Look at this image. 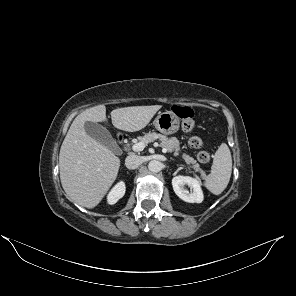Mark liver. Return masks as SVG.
<instances>
[{
  "mask_svg": "<svg viewBox=\"0 0 296 296\" xmlns=\"http://www.w3.org/2000/svg\"><path fill=\"white\" fill-rule=\"evenodd\" d=\"M161 105L131 106L112 110L117 129L136 132L151 121ZM106 122V107L97 105L80 113L72 122L59 154L60 180L67 198L89 209L97 206L117 178L120 159L90 137L85 122Z\"/></svg>",
  "mask_w": 296,
  "mask_h": 296,
  "instance_id": "liver-1",
  "label": "liver"
}]
</instances>
